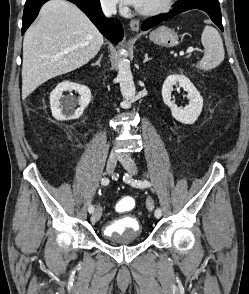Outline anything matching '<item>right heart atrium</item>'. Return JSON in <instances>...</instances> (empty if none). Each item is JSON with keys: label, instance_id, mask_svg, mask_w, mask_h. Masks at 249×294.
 <instances>
[{"label": "right heart atrium", "instance_id": "1", "mask_svg": "<svg viewBox=\"0 0 249 294\" xmlns=\"http://www.w3.org/2000/svg\"><path fill=\"white\" fill-rule=\"evenodd\" d=\"M100 3L102 7L109 12L116 10L118 6V0H100Z\"/></svg>", "mask_w": 249, "mask_h": 294}]
</instances>
